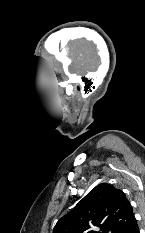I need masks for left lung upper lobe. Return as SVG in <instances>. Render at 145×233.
I'll use <instances>...</instances> for the list:
<instances>
[{
  "label": "left lung upper lobe",
  "mask_w": 145,
  "mask_h": 233,
  "mask_svg": "<svg viewBox=\"0 0 145 233\" xmlns=\"http://www.w3.org/2000/svg\"><path fill=\"white\" fill-rule=\"evenodd\" d=\"M135 223L125 194L101 183L57 222L53 233H129Z\"/></svg>",
  "instance_id": "5c2ea615"
}]
</instances>
